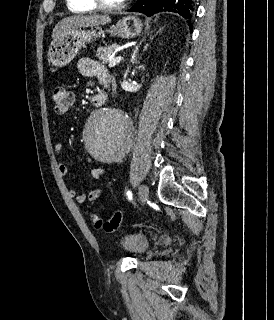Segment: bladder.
Here are the masks:
<instances>
[{
	"label": "bladder",
	"instance_id": "31cf9c89",
	"mask_svg": "<svg viewBox=\"0 0 274 320\" xmlns=\"http://www.w3.org/2000/svg\"><path fill=\"white\" fill-rule=\"evenodd\" d=\"M118 246L130 255L140 256L147 251L149 243L141 234H124L120 236Z\"/></svg>",
	"mask_w": 274,
	"mask_h": 320
}]
</instances>
